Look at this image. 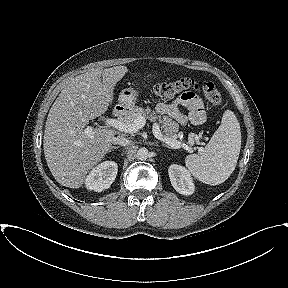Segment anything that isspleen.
Returning <instances> with one entry per match:
<instances>
[{"label": "spleen", "mask_w": 288, "mask_h": 288, "mask_svg": "<svg viewBox=\"0 0 288 288\" xmlns=\"http://www.w3.org/2000/svg\"><path fill=\"white\" fill-rule=\"evenodd\" d=\"M241 149L240 124L231 110L223 114L221 125L201 153L185 158L188 171L209 185L223 183L234 171Z\"/></svg>", "instance_id": "3e777b00"}]
</instances>
